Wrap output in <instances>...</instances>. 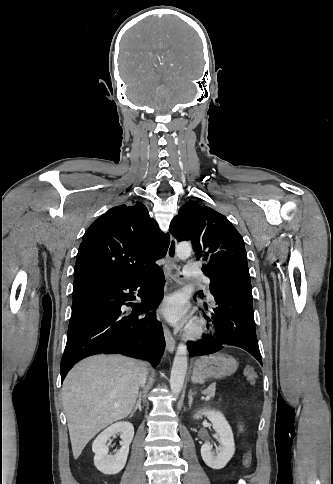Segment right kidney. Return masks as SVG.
Returning <instances> with one entry per match:
<instances>
[{
	"instance_id": "ca27d5eb",
	"label": "right kidney",
	"mask_w": 333,
	"mask_h": 484,
	"mask_svg": "<svg viewBox=\"0 0 333 484\" xmlns=\"http://www.w3.org/2000/svg\"><path fill=\"white\" fill-rule=\"evenodd\" d=\"M118 433H120L122 439V446L114 455L109 454V449L106 443L110 437ZM133 437L134 427L127 421L115 423L105 429L100 435H98L92 444V451L95 454V467L105 475H115L119 473L126 464L129 445L132 442Z\"/></svg>"
}]
</instances>
